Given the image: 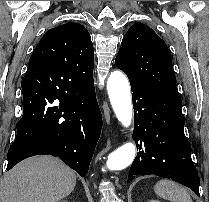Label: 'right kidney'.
Instances as JSON below:
<instances>
[{
    "mask_svg": "<svg viewBox=\"0 0 209 202\" xmlns=\"http://www.w3.org/2000/svg\"><path fill=\"white\" fill-rule=\"evenodd\" d=\"M61 202H67V201L63 200V201H61Z\"/></svg>",
    "mask_w": 209,
    "mask_h": 202,
    "instance_id": "ca27d5eb",
    "label": "right kidney"
}]
</instances>
